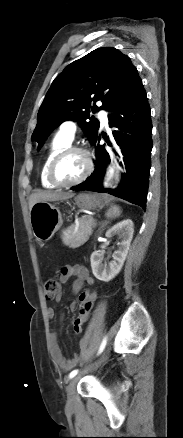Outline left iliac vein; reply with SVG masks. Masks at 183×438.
Instances as JSON below:
<instances>
[{
	"label": "left iliac vein",
	"mask_w": 183,
	"mask_h": 438,
	"mask_svg": "<svg viewBox=\"0 0 183 438\" xmlns=\"http://www.w3.org/2000/svg\"><path fill=\"white\" fill-rule=\"evenodd\" d=\"M106 360V356H103L100 361H98L91 370L97 369L104 361ZM79 380V376H75L71 379L69 384L67 385L66 391H67V406L69 408H72L75 404V392H76V385Z\"/></svg>",
	"instance_id": "4c4485c4"
}]
</instances>
